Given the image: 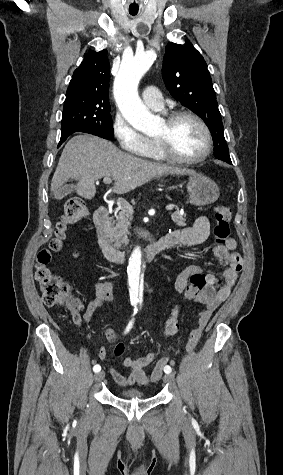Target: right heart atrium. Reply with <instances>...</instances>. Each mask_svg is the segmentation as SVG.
I'll return each mask as SVG.
<instances>
[{"label":"right heart atrium","mask_w":283,"mask_h":475,"mask_svg":"<svg viewBox=\"0 0 283 475\" xmlns=\"http://www.w3.org/2000/svg\"><path fill=\"white\" fill-rule=\"evenodd\" d=\"M111 130L122 155H142V158L148 155L150 140L139 133L121 113L115 114Z\"/></svg>","instance_id":"obj_1"}]
</instances>
